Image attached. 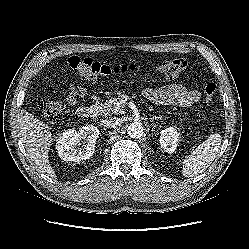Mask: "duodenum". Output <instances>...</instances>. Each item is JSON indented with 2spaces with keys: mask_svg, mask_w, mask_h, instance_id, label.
Segmentation results:
<instances>
[{
  "mask_svg": "<svg viewBox=\"0 0 249 249\" xmlns=\"http://www.w3.org/2000/svg\"><path fill=\"white\" fill-rule=\"evenodd\" d=\"M77 113L82 119H90L97 116L98 110L95 106H82L77 110Z\"/></svg>",
  "mask_w": 249,
  "mask_h": 249,
  "instance_id": "obj_1",
  "label": "duodenum"
}]
</instances>
